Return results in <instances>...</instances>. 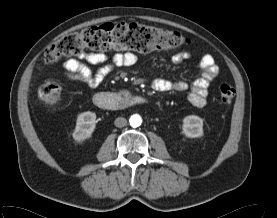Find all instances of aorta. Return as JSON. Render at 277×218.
<instances>
[{
  "label": "aorta",
  "mask_w": 277,
  "mask_h": 218,
  "mask_svg": "<svg viewBox=\"0 0 277 218\" xmlns=\"http://www.w3.org/2000/svg\"><path fill=\"white\" fill-rule=\"evenodd\" d=\"M129 122L130 125L135 128L141 125L142 118L139 114H134L130 117Z\"/></svg>",
  "instance_id": "1"
}]
</instances>
